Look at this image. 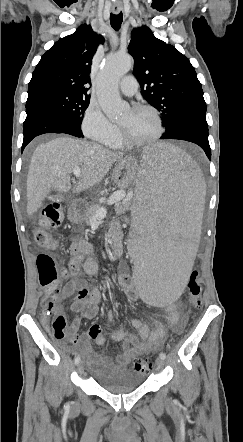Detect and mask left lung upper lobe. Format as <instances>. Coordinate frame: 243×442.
<instances>
[{
	"instance_id": "5c2ea615",
	"label": "left lung upper lobe",
	"mask_w": 243,
	"mask_h": 442,
	"mask_svg": "<svg viewBox=\"0 0 243 442\" xmlns=\"http://www.w3.org/2000/svg\"><path fill=\"white\" fill-rule=\"evenodd\" d=\"M128 51L144 98L160 113L167 127L184 108L205 104L201 83L189 59L157 39L148 27L133 30Z\"/></svg>"
}]
</instances>
